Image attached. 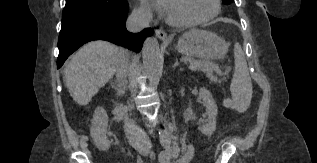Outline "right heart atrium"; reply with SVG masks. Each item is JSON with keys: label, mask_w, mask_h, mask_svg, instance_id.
I'll return each mask as SVG.
<instances>
[{"label": "right heart atrium", "mask_w": 317, "mask_h": 163, "mask_svg": "<svg viewBox=\"0 0 317 163\" xmlns=\"http://www.w3.org/2000/svg\"><path fill=\"white\" fill-rule=\"evenodd\" d=\"M134 16L143 21H149L153 18L152 10L146 5H139L134 9Z\"/></svg>", "instance_id": "1"}]
</instances>
